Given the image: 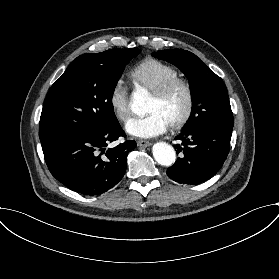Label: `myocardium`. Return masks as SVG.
<instances>
[{"mask_svg":"<svg viewBox=\"0 0 279 279\" xmlns=\"http://www.w3.org/2000/svg\"><path fill=\"white\" fill-rule=\"evenodd\" d=\"M178 87H182L186 93V108L183 115L170 125L173 129H181L189 122L192 117L195 104L192 84L185 78L176 77L167 80L152 93V96L156 99H163Z\"/></svg>","mask_w":279,"mask_h":279,"instance_id":"f54148a6","label":"myocardium"}]
</instances>
